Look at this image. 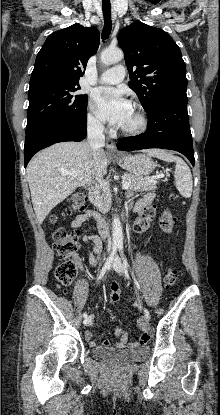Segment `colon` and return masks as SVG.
Listing matches in <instances>:
<instances>
[{
    "label": "colon",
    "instance_id": "colon-1",
    "mask_svg": "<svg viewBox=\"0 0 220 415\" xmlns=\"http://www.w3.org/2000/svg\"><path fill=\"white\" fill-rule=\"evenodd\" d=\"M88 202V196L84 191H76L70 195L69 204L65 208L63 215H71L76 212L82 211ZM155 214V208L147 206L143 210L144 217H153ZM60 217L58 215H52L50 222L56 224ZM176 225L174 216L165 211L160 218V227L165 233H171ZM54 249L61 259L60 264L57 266L55 276L61 287H69L77 274L78 263L76 260V253L79 249L80 242L78 234L75 231H67L63 228H57L53 232ZM178 271L174 267H170L166 270L164 281L167 286H173L178 280ZM120 299V294L112 292L110 295V304H116ZM144 340L150 338L148 333L142 335Z\"/></svg>",
    "mask_w": 220,
    "mask_h": 415
}]
</instances>
